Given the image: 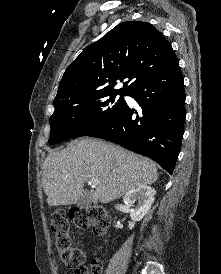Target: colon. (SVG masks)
I'll use <instances>...</instances> for the list:
<instances>
[{
	"label": "colon",
	"instance_id": "5ec220e1",
	"mask_svg": "<svg viewBox=\"0 0 221 274\" xmlns=\"http://www.w3.org/2000/svg\"><path fill=\"white\" fill-rule=\"evenodd\" d=\"M70 219L79 229L91 228L96 236L103 235L109 225V216L101 206L73 208ZM51 228L55 234V244L62 263L74 274H101L102 265L93 260L90 271L83 266L84 256L82 251L73 246L69 236V219L64 210H56L51 216Z\"/></svg>",
	"mask_w": 221,
	"mask_h": 274
}]
</instances>
